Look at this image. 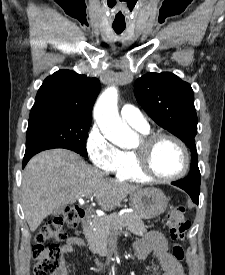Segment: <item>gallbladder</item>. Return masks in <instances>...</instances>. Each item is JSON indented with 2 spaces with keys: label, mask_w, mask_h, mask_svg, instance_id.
Segmentation results:
<instances>
[{
  "label": "gallbladder",
  "mask_w": 225,
  "mask_h": 275,
  "mask_svg": "<svg viewBox=\"0 0 225 275\" xmlns=\"http://www.w3.org/2000/svg\"><path fill=\"white\" fill-rule=\"evenodd\" d=\"M63 211H64V207L61 206V207L55 209L52 214L53 215H59V214L63 213Z\"/></svg>",
  "instance_id": "1"
}]
</instances>
